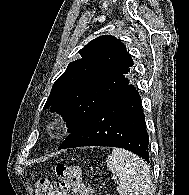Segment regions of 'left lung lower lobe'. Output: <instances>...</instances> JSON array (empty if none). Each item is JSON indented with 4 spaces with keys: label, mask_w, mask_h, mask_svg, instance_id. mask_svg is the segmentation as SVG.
<instances>
[{
    "label": "left lung lower lobe",
    "mask_w": 189,
    "mask_h": 195,
    "mask_svg": "<svg viewBox=\"0 0 189 195\" xmlns=\"http://www.w3.org/2000/svg\"><path fill=\"white\" fill-rule=\"evenodd\" d=\"M148 143L141 98L129 83L110 96L70 133L59 149L79 146L120 147L149 162Z\"/></svg>",
    "instance_id": "left-lung-lower-lobe-1"
}]
</instances>
